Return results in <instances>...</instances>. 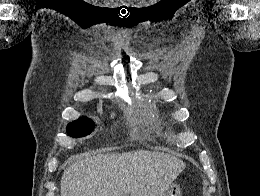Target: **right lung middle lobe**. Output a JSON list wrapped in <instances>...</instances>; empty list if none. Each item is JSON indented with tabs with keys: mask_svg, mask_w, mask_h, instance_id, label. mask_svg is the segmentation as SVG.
Instances as JSON below:
<instances>
[{
	"mask_svg": "<svg viewBox=\"0 0 260 196\" xmlns=\"http://www.w3.org/2000/svg\"><path fill=\"white\" fill-rule=\"evenodd\" d=\"M94 129L91 120L87 118H80L77 121L70 123L67 127V132L70 136L78 138L90 134Z\"/></svg>",
	"mask_w": 260,
	"mask_h": 196,
	"instance_id": "right-lung-middle-lobe-1",
	"label": "right lung middle lobe"
}]
</instances>
